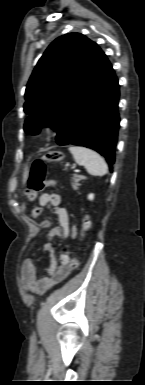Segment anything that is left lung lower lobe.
I'll use <instances>...</instances> for the list:
<instances>
[{
    "mask_svg": "<svg viewBox=\"0 0 145 385\" xmlns=\"http://www.w3.org/2000/svg\"><path fill=\"white\" fill-rule=\"evenodd\" d=\"M118 101V79L99 49L79 96L57 131V143L88 147L113 164L120 122Z\"/></svg>",
    "mask_w": 145,
    "mask_h": 385,
    "instance_id": "0a47b994",
    "label": "left lung lower lobe"
}]
</instances>
